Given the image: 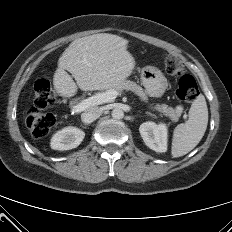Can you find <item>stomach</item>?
<instances>
[{"mask_svg": "<svg viewBox=\"0 0 232 232\" xmlns=\"http://www.w3.org/2000/svg\"><path fill=\"white\" fill-rule=\"evenodd\" d=\"M141 82L146 92L153 97L162 96L168 85L161 71L150 66L141 70Z\"/></svg>", "mask_w": 232, "mask_h": 232, "instance_id": "obj_1", "label": "stomach"}]
</instances>
